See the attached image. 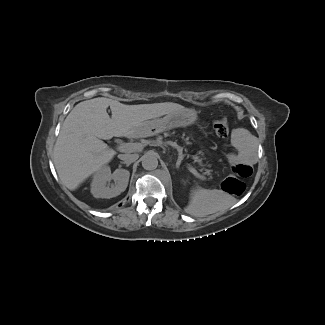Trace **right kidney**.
Returning <instances> with one entry per match:
<instances>
[{
    "label": "right kidney",
    "instance_id": "obj_1",
    "mask_svg": "<svg viewBox=\"0 0 325 325\" xmlns=\"http://www.w3.org/2000/svg\"><path fill=\"white\" fill-rule=\"evenodd\" d=\"M130 173L125 169H116L111 173L109 166L99 169L93 176L91 193L95 198H112L125 191ZM111 180L114 183H110Z\"/></svg>",
    "mask_w": 325,
    "mask_h": 325
}]
</instances>
